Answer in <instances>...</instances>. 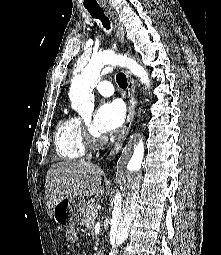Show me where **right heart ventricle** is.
I'll use <instances>...</instances> for the list:
<instances>
[{
	"label": "right heart ventricle",
	"instance_id": "obj_1",
	"mask_svg": "<svg viewBox=\"0 0 221 255\" xmlns=\"http://www.w3.org/2000/svg\"><path fill=\"white\" fill-rule=\"evenodd\" d=\"M55 148L58 155L67 161L82 159L87 152V142L80 118L64 116L55 131Z\"/></svg>",
	"mask_w": 221,
	"mask_h": 255
}]
</instances>
